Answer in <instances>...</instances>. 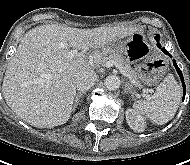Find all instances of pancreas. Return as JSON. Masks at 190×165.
Segmentation results:
<instances>
[{"label": "pancreas", "mask_w": 190, "mask_h": 165, "mask_svg": "<svg viewBox=\"0 0 190 165\" xmlns=\"http://www.w3.org/2000/svg\"><path fill=\"white\" fill-rule=\"evenodd\" d=\"M114 61L117 62L123 69L133 78L137 79V75L134 72V70L131 68V66L125 61V59L116 52H112L109 54V56H103L102 64L106 65L107 62Z\"/></svg>", "instance_id": "1"}]
</instances>
